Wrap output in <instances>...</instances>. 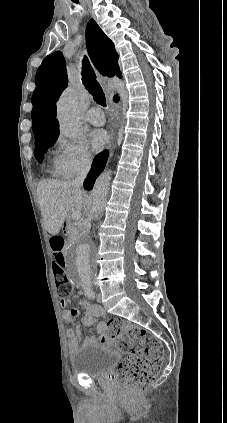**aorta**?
I'll return each instance as SVG.
<instances>
[{"label": "aorta", "mask_w": 227, "mask_h": 423, "mask_svg": "<svg viewBox=\"0 0 227 423\" xmlns=\"http://www.w3.org/2000/svg\"><path fill=\"white\" fill-rule=\"evenodd\" d=\"M57 120L61 133L67 138L75 139L80 131V111L78 93L67 88L57 102ZM111 170H105L96 180L92 190L91 213L97 220L106 203L111 181ZM97 252L89 241H81L70 245L65 254L66 272L71 282L87 287L97 272Z\"/></svg>", "instance_id": "1"}]
</instances>
